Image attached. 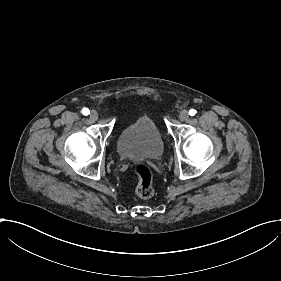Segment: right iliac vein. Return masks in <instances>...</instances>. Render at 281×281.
<instances>
[{
	"mask_svg": "<svg viewBox=\"0 0 281 281\" xmlns=\"http://www.w3.org/2000/svg\"><path fill=\"white\" fill-rule=\"evenodd\" d=\"M89 115H90V117H91V119H92L93 121H96V120L98 119V116H97L98 114H97V112L94 111V110L91 111Z\"/></svg>",
	"mask_w": 281,
	"mask_h": 281,
	"instance_id": "1",
	"label": "right iliac vein"
}]
</instances>
